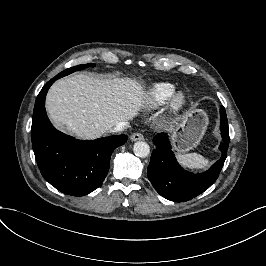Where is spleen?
<instances>
[{"label": "spleen", "instance_id": "3e777b00", "mask_svg": "<svg viewBox=\"0 0 266 266\" xmlns=\"http://www.w3.org/2000/svg\"><path fill=\"white\" fill-rule=\"evenodd\" d=\"M179 163L190 169H204L208 167L209 161L197 153L177 154Z\"/></svg>", "mask_w": 266, "mask_h": 266}]
</instances>
